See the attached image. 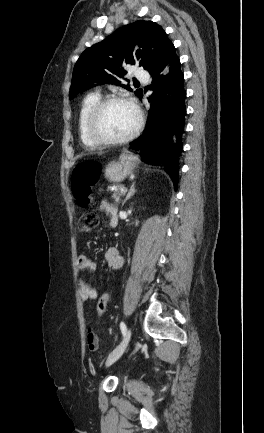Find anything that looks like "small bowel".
I'll return each mask as SVG.
<instances>
[{
  "label": "small bowel",
  "instance_id": "c3829d8e",
  "mask_svg": "<svg viewBox=\"0 0 264 433\" xmlns=\"http://www.w3.org/2000/svg\"><path fill=\"white\" fill-rule=\"evenodd\" d=\"M100 209L109 215L110 225L116 226L118 221L116 208L110 202L103 200L100 204ZM105 260L108 267L114 270L121 269L124 265V258L116 247H111L106 251ZM77 264L78 268L83 271L92 272L96 269L95 263L84 254L78 256ZM79 288L83 304L94 301L97 298V290L88 283L80 281ZM87 346L90 351H95L99 347V338L91 329H88L87 332Z\"/></svg>",
  "mask_w": 264,
  "mask_h": 433
}]
</instances>
